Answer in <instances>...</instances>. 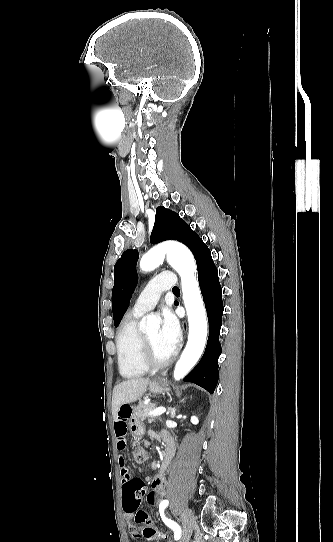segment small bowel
Here are the masks:
<instances>
[{"mask_svg":"<svg viewBox=\"0 0 333 542\" xmlns=\"http://www.w3.org/2000/svg\"><path fill=\"white\" fill-rule=\"evenodd\" d=\"M117 416L114 421V432H115V441H116V448L119 452L123 453L127 447H128V439H127V432H128V424L131 421L133 410L130 405H119L117 409ZM166 448L168 449V445H166ZM120 467H121V474H122V483H123V495L124 497H131V491L127 489L126 485L129 480V477L127 476V469L124 464V458L121 456L120 461ZM151 487L152 490L149 492L147 496V500L149 504L151 505H158L164 495L166 490V476L164 473H158L153 477L151 480ZM124 519H129V514H124ZM136 524H140L137 522V515H134V521H130L127 523V529L128 532L132 535V537L136 540H140V536L138 533V528ZM157 530V529H156ZM165 537V534L162 531L157 530L156 539H162ZM155 540H152L150 542H153Z\"/></svg>","mask_w":333,"mask_h":542,"instance_id":"obj_1","label":"small bowel"}]
</instances>
